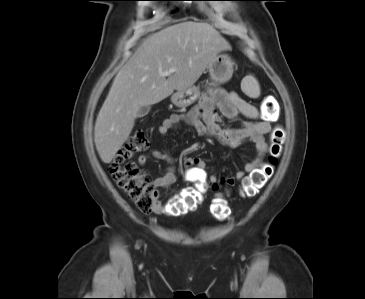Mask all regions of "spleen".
I'll list each match as a JSON object with an SVG mask.
<instances>
[{
    "instance_id": "1",
    "label": "spleen",
    "mask_w": 365,
    "mask_h": 299,
    "mask_svg": "<svg viewBox=\"0 0 365 299\" xmlns=\"http://www.w3.org/2000/svg\"><path fill=\"white\" fill-rule=\"evenodd\" d=\"M241 88L243 92L251 98H258L260 96L259 83L252 75H247L243 78Z\"/></svg>"
}]
</instances>
